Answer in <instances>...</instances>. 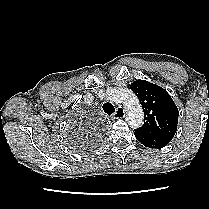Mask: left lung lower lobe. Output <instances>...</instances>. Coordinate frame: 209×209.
Masks as SVG:
<instances>
[{"label":"left lung lower lobe","instance_id":"1","mask_svg":"<svg viewBox=\"0 0 209 209\" xmlns=\"http://www.w3.org/2000/svg\"><path fill=\"white\" fill-rule=\"evenodd\" d=\"M134 134L136 139L148 148L160 149L165 147L171 141L166 138L151 136L136 130Z\"/></svg>","mask_w":209,"mask_h":209}]
</instances>
